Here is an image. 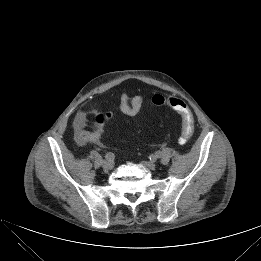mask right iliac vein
Listing matches in <instances>:
<instances>
[{
    "label": "right iliac vein",
    "mask_w": 261,
    "mask_h": 261,
    "mask_svg": "<svg viewBox=\"0 0 261 261\" xmlns=\"http://www.w3.org/2000/svg\"><path fill=\"white\" fill-rule=\"evenodd\" d=\"M102 167H103L104 171L108 172L113 168V163L108 162V161H103Z\"/></svg>",
    "instance_id": "right-iliac-vein-1"
}]
</instances>
